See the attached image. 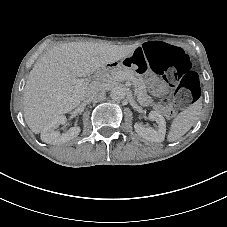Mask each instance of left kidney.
Listing matches in <instances>:
<instances>
[{"mask_svg": "<svg viewBox=\"0 0 227 227\" xmlns=\"http://www.w3.org/2000/svg\"><path fill=\"white\" fill-rule=\"evenodd\" d=\"M149 118L156 122L157 127H145L142 123L136 122L134 128L136 132L151 142H162L166 135V122L163 116L157 111H152L149 114Z\"/></svg>", "mask_w": 227, "mask_h": 227, "instance_id": "left-kidney-1", "label": "left kidney"}]
</instances>
